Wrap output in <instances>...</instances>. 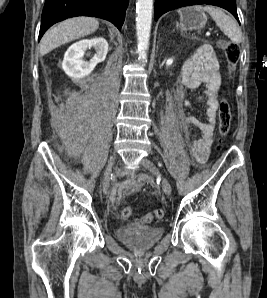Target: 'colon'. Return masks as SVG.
I'll list each match as a JSON object with an SVG mask.
<instances>
[{
    "instance_id": "colon-1",
    "label": "colon",
    "mask_w": 267,
    "mask_h": 298,
    "mask_svg": "<svg viewBox=\"0 0 267 298\" xmlns=\"http://www.w3.org/2000/svg\"><path fill=\"white\" fill-rule=\"evenodd\" d=\"M220 48L224 51L228 67L233 69L238 62L240 49L236 43L230 41L219 42ZM231 108L227 98L223 97L219 103V124L218 132L221 138L228 135L231 126ZM133 215V209L130 206H125L121 210V217L128 220ZM164 217L162 209H155L141 218L142 223H150L154 220H160Z\"/></svg>"
}]
</instances>
